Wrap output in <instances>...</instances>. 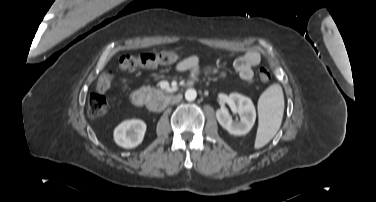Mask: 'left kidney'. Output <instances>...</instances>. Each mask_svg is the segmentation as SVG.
Listing matches in <instances>:
<instances>
[{"mask_svg":"<svg viewBox=\"0 0 376 202\" xmlns=\"http://www.w3.org/2000/svg\"><path fill=\"white\" fill-rule=\"evenodd\" d=\"M231 106L240 115V122H235L224 110H217L216 117L219 124L232 135H245L253 127L256 110L250 98L238 93H231L228 97Z\"/></svg>","mask_w":376,"mask_h":202,"instance_id":"obj_1","label":"left kidney"}]
</instances>
